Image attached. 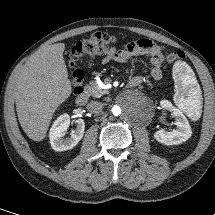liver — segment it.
I'll return each instance as SVG.
<instances>
[{"instance_id":"obj_1","label":"liver","mask_w":215,"mask_h":215,"mask_svg":"<svg viewBox=\"0 0 215 215\" xmlns=\"http://www.w3.org/2000/svg\"><path fill=\"white\" fill-rule=\"evenodd\" d=\"M64 50V43L40 48L14 75L18 120L34 141L45 138L54 112L72 92Z\"/></svg>"}]
</instances>
